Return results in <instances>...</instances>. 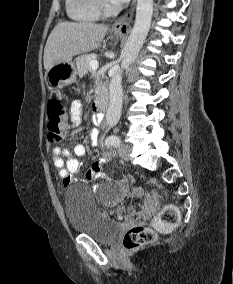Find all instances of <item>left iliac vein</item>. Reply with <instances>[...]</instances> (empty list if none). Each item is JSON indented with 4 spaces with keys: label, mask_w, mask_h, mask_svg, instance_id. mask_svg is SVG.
Instances as JSON below:
<instances>
[{
    "label": "left iliac vein",
    "mask_w": 233,
    "mask_h": 284,
    "mask_svg": "<svg viewBox=\"0 0 233 284\" xmlns=\"http://www.w3.org/2000/svg\"><path fill=\"white\" fill-rule=\"evenodd\" d=\"M131 148L129 145H121L118 148L119 155L124 160H129Z\"/></svg>",
    "instance_id": "1"
}]
</instances>
